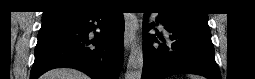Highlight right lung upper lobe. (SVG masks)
Returning <instances> with one entry per match:
<instances>
[{"mask_svg":"<svg viewBox=\"0 0 255 79\" xmlns=\"http://www.w3.org/2000/svg\"><path fill=\"white\" fill-rule=\"evenodd\" d=\"M99 6L96 4L85 3L76 0H54L48 5L47 11L44 12L43 18H49L55 15L83 12L94 10Z\"/></svg>","mask_w":255,"mask_h":79,"instance_id":"right-lung-upper-lobe-1","label":"right lung upper lobe"}]
</instances>
